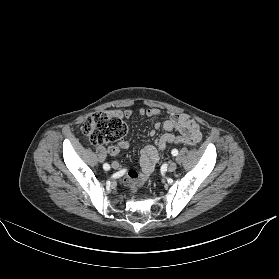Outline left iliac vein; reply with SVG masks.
I'll use <instances>...</instances> for the list:
<instances>
[{
  "instance_id": "obj_1",
  "label": "left iliac vein",
  "mask_w": 279,
  "mask_h": 279,
  "mask_svg": "<svg viewBox=\"0 0 279 279\" xmlns=\"http://www.w3.org/2000/svg\"><path fill=\"white\" fill-rule=\"evenodd\" d=\"M177 168V164L176 162H170L169 166H168V171L169 172H174Z\"/></svg>"
}]
</instances>
